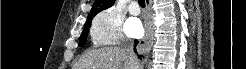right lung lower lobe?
<instances>
[{
  "mask_svg": "<svg viewBox=\"0 0 246 69\" xmlns=\"http://www.w3.org/2000/svg\"><path fill=\"white\" fill-rule=\"evenodd\" d=\"M137 44H138V41L135 40V46H134V50H135V51H136L135 47H136Z\"/></svg>",
  "mask_w": 246,
  "mask_h": 69,
  "instance_id": "obj_1",
  "label": "right lung lower lobe"
}]
</instances>
